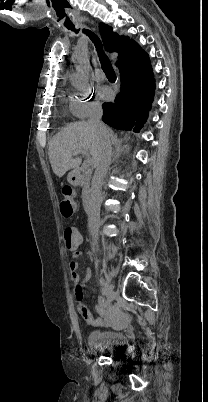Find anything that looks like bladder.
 I'll return each instance as SVG.
<instances>
[{
	"mask_svg": "<svg viewBox=\"0 0 208 402\" xmlns=\"http://www.w3.org/2000/svg\"><path fill=\"white\" fill-rule=\"evenodd\" d=\"M123 336L110 330H90L88 345L92 349L108 348L118 350L122 347Z\"/></svg>",
	"mask_w": 208,
	"mask_h": 402,
	"instance_id": "obj_1",
	"label": "bladder"
}]
</instances>
